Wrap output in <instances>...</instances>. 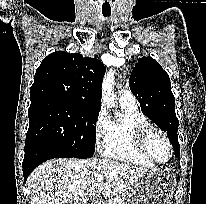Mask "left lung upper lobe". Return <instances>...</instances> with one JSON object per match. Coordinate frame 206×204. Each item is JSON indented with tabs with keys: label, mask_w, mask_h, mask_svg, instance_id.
<instances>
[{
	"label": "left lung upper lobe",
	"mask_w": 206,
	"mask_h": 204,
	"mask_svg": "<svg viewBox=\"0 0 206 204\" xmlns=\"http://www.w3.org/2000/svg\"><path fill=\"white\" fill-rule=\"evenodd\" d=\"M129 86L144 114L167 132L175 156L179 157L178 119L168 74L153 58L142 57L131 73Z\"/></svg>",
	"instance_id": "5c2ea615"
}]
</instances>
